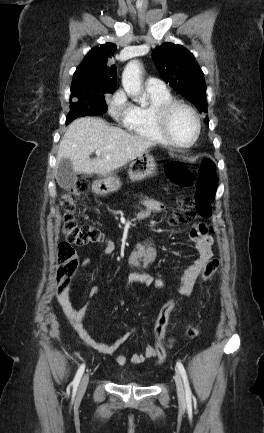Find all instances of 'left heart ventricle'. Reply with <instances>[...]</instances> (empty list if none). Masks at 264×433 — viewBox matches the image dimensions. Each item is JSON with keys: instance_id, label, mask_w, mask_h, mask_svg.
<instances>
[{"instance_id": "obj_1", "label": "left heart ventricle", "mask_w": 264, "mask_h": 433, "mask_svg": "<svg viewBox=\"0 0 264 433\" xmlns=\"http://www.w3.org/2000/svg\"><path fill=\"white\" fill-rule=\"evenodd\" d=\"M169 130L171 136L178 143L190 142L196 130V124L191 113L183 108L177 109L171 116Z\"/></svg>"}]
</instances>
